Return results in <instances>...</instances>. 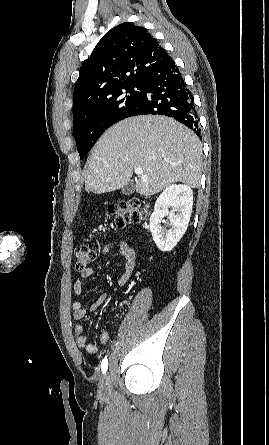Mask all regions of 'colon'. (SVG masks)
<instances>
[{"label":"colon","instance_id":"1","mask_svg":"<svg viewBox=\"0 0 269 445\" xmlns=\"http://www.w3.org/2000/svg\"><path fill=\"white\" fill-rule=\"evenodd\" d=\"M108 212L113 218L114 226L118 228L129 223L141 222L146 217L145 204L136 198L111 205ZM96 257L97 252L93 248L87 245L78 246L75 250L76 268L80 271L88 268Z\"/></svg>","mask_w":269,"mask_h":445}]
</instances>
